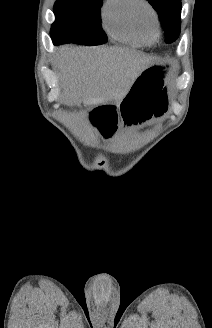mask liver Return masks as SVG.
I'll return each instance as SVG.
<instances>
[{
  "instance_id": "obj_1",
  "label": "liver",
  "mask_w": 212,
  "mask_h": 328,
  "mask_svg": "<svg viewBox=\"0 0 212 328\" xmlns=\"http://www.w3.org/2000/svg\"><path fill=\"white\" fill-rule=\"evenodd\" d=\"M56 66L63 73L61 101L78 98L95 105L120 103L149 62L144 53L122 47H65Z\"/></svg>"
}]
</instances>
